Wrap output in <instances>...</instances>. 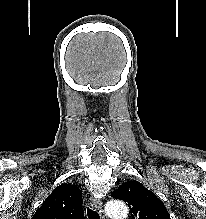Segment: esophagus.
<instances>
[{
  "mask_svg": "<svg viewBox=\"0 0 206 219\" xmlns=\"http://www.w3.org/2000/svg\"><path fill=\"white\" fill-rule=\"evenodd\" d=\"M89 202L94 209L98 210L101 215L103 214L102 201L100 198L91 196Z\"/></svg>",
  "mask_w": 206,
  "mask_h": 219,
  "instance_id": "34e87169",
  "label": "esophagus"
}]
</instances>
